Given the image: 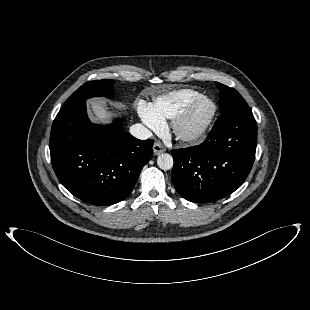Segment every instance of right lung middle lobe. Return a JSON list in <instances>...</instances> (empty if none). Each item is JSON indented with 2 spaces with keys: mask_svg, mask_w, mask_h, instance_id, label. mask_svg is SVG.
<instances>
[{
  "mask_svg": "<svg viewBox=\"0 0 310 310\" xmlns=\"http://www.w3.org/2000/svg\"><path fill=\"white\" fill-rule=\"evenodd\" d=\"M113 83L112 80L89 81L77 89L62 107L95 96H110L113 93Z\"/></svg>",
  "mask_w": 310,
  "mask_h": 310,
  "instance_id": "right-lung-middle-lobe-1",
  "label": "right lung middle lobe"
}]
</instances>
